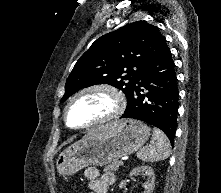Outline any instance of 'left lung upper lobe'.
<instances>
[{
    "label": "left lung upper lobe",
    "mask_w": 221,
    "mask_h": 193,
    "mask_svg": "<svg viewBox=\"0 0 221 193\" xmlns=\"http://www.w3.org/2000/svg\"><path fill=\"white\" fill-rule=\"evenodd\" d=\"M166 45L159 28L146 21L133 22L101 36L75 64L61 102L84 87L104 83L119 88L128 99L137 76Z\"/></svg>",
    "instance_id": "left-lung-upper-lobe-1"
}]
</instances>
